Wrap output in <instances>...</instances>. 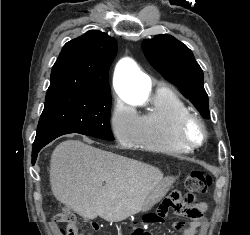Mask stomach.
<instances>
[{"label": "stomach", "instance_id": "obj_1", "mask_svg": "<svg viewBox=\"0 0 250 235\" xmlns=\"http://www.w3.org/2000/svg\"><path fill=\"white\" fill-rule=\"evenodd\" d=\"M174 178L164 179L147 197L144 202L142 211L150 210L156 203H158L170 190Z\"/></svg>", "mask_w": 250, "mask_h": 235}]
</instances>
